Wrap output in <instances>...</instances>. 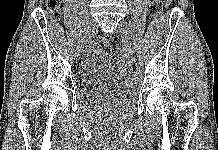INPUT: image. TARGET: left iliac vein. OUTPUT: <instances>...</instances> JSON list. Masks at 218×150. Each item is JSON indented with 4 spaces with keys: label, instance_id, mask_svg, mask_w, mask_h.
Returning <instances> with one entry per match:
<instances>
[{
    "label": "left iliac vein",
    "instance_id": "4c4485c4",
    "mask_svg": "<svg viewBox=\"0 0 218 150\" xmlns=\"http://www.w3.org/2000/svg\"><path fill=\"white\" fill-rule=\"evenodd\" d=\"M119 28H120V32H121V37H122V41L126 44V45H130L131 44V28L129 26V24L126 21H120L119 23ZM128 53H129V58L127 59L129 62L132 60L131 58L134 56L133 53V47L129 46L128 47Z\"/></svg>",
    "mask_w": 218,
    "mask_h": 150
}]
</instances>
